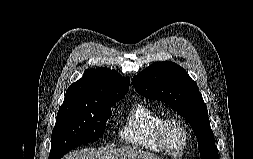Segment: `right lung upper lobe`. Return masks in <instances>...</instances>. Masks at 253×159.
Instances as JSON below:
<instances>
[{"instance_id":"right-lung-upper-lobe-1","label":"right lung upper lobe","mask_w":253,"mask_h":159,"mask_svg":"<svg viewBox=\"0 0 253 159\" xmlns=\"http://www.w3.org/2000/svg\"><path fill=\"white\" fill-rule=\"evenodd\" d=\"M129 77H122L108 68L87 69L77 82L73 83L65 94L66 100L73 99H122L128 92Z\"/></svg>"}]
</instances>
